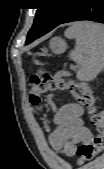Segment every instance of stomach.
Segmentation results:
<instances>
[{
	"label": "stomach",
	"mask_w": 104,
	"mask_h": 169,
	"mask_svg": "<svg viewBox=\"0 0 104 169\" xmlns=\"http://www.w3.org/2000/svg\"><path fill=\"white\" fill-rule=\"evenodd\" d=\"M49 48L55 54L63 53L67 49V44L65 40L60 37H53L50 40Z\"/></svg>",
	"instance_id": "0dacf381"
}]
</instances>
